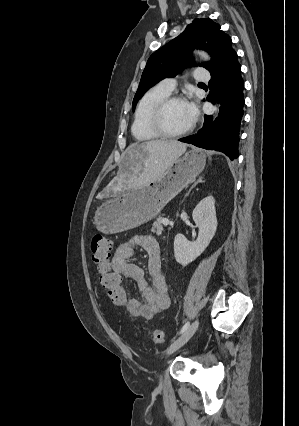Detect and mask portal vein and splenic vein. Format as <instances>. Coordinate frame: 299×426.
<instances>
[{
    "label": "portal vein and splenic vein",
    "instance_id": "obj_1",
    "mask_svg": "<svg viewBox=\"0 0 299 426\" xmlns=\"http://www.w3.org/2000/svg\"><path fill=\"white\" fill-rule=\"evenodd\" d=\"M162 223H163L164 225H168V224H169V220L165 218V219H163V220H162Z\"/></svg>",
    "mask_w": 299,
    "mask_h": 426
}]
</instances>
